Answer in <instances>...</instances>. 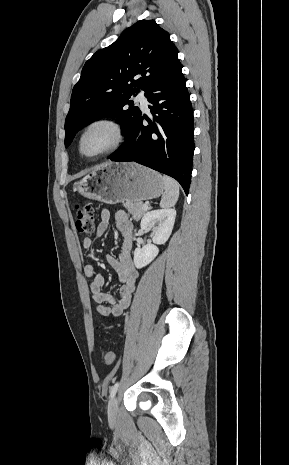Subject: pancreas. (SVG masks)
<instances>
[{"mask_svg":"<svg viewBox=\"0 0 289 465\" xmlns=\"http://www.w3.org/2000/svg\"><path fill=\"white\" fill-rule=\"evenodd\" d=\"M123 206L129 213L132 214L134 220L136 221L140 220L142 215L146 212V209H143L142 202L127 201L123 203Z\"/></svg>","mask_w":289,"mask_h":465,"instance_id":"1","label":"pancreas"}]
</instances>
